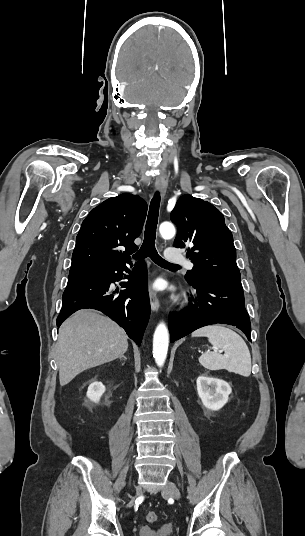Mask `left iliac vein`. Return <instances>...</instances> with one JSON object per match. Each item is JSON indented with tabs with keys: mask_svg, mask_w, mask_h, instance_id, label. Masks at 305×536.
<instances>
[{
	"mask_svg": "<svg viewBox=\"0 0 305 536\" xmlns=\"http://www.w3.org/2000/svg\"><path fill=\"white\" fill-rule=\"evenodd\" d=\"M162 493L167 496H171L172 498H175V499H180L181 497L179 489L171 481H167L166 485L162 489Z\"/></svg>",
	"mask_w": 305,
	"mask_h": 536,
	"instance_id": "left-iliac-vein-1",
	"label": "left iliac vein"
}]
</instances>
